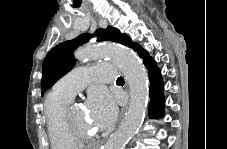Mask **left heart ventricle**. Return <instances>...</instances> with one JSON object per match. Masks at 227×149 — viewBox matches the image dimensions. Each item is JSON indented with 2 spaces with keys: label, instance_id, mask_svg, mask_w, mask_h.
<instances>
[{
  "label": "left heart ventricle",
  "instance_id": "left-heart-ventricle-1",
  "mask_svg": "<svg viewBox=\"0 0 227 149\" xmlns=\"http://www.w3.org/2000/svg\"><path fill=\"white\" fill-rule=\"evenodd\" d=\"M73 119L75 121L76 126L87 133H91L93 128L95 127L94 124H91L88 120L87 113L84 109L80 107H75L73 110Z\"/></svg>",
  "mask_w": 227,
  "mask_h": 149
}]
</instances>
